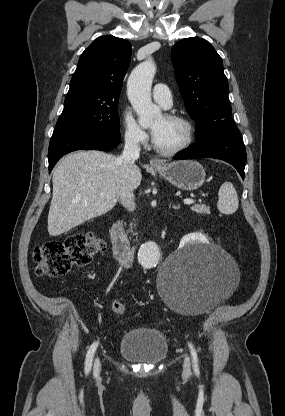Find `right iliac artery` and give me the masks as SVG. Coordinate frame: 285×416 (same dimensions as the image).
Segmentation results:
<instances>
[{"label":"right iliac artery","mask_w":285,"mask_h":416,"mask_svg":"<svg viewBox=\"0 0 285 416\" xmlns=\"http://www.w3.org/2000/svg\"><path fill=\"white\" fill-rule=\"evenodd\" d=\"M97 346H98V342L93 343L87 352L86 361H85V373L86 374L89 372L91 368L93 356H94Z\"/></svg>","instance_id":"82829eb1"}]
</instances>
